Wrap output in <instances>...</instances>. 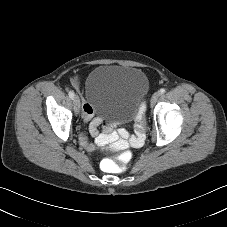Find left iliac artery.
Instances as JSON below:
<instances>
[{"mask_svg": "<svg viewBox=\"0 0 227 227\" xmlns=\"http://www.w3.org/2000/svg\"><path fill=\"white\" fill-rule=\"evenodd\" d=\"M166 90L164 88L160 89V94H164Z\"/></svg>", "mask_w": 227, "mask_h": 227, "instance_id": "obj_1", "label": "left iliac artery"}]
</instances>
